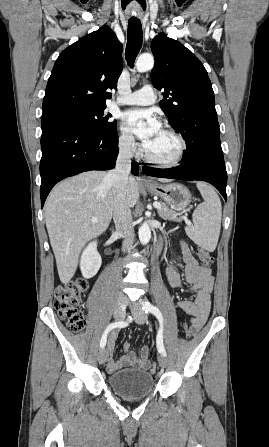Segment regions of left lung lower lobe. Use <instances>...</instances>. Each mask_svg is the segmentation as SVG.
<instances>
[{
    "mask_svg": "<svg viewBox=\"0 0 269 447\" xmlns=\"http://www.w3.org/2000/svg\"><path fill=\"white\" fill-rule=\"evenodd\" d=\"M148 176L179 180H201L215 186L227 200V172L222 150H206L189 159H183L180 166L171 169L143 167Z\"/></svg>",
    "mask_w": 269,
    "mask_h": 447,
    "instance_id": "left-lung-lower-lobe-1",
    "label": "left lung lower lobe"
}]
</instances>
